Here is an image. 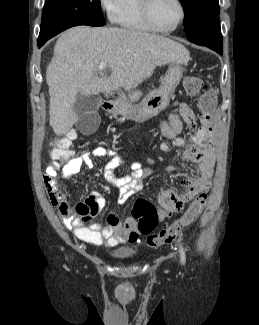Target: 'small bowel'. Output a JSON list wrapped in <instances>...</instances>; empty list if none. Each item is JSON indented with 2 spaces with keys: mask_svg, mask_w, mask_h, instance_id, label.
<instances>
[{
  "mask_svg": "<svg viewBox=\"0 0 259 325\" xmlns=\"http://www.w3.org/2000/svg\"><path fill=\"white\" fill-rule=\"evenodd\" d=\"M183 123L192 132L196 128L194 111L185 103H177L176 109L159 123L161 135L172 140L171 144H166L168 146L166 149L163 147L165 144H163L162 150L167 151L171 147H185L182 158L196 164L194 175L181 180V184L185 188L183 194H178L168 188L162 189L157 194V201L160 206L158 217L161 221L174 212L180 211L187 202L199 194L207 192L211 185L215 158L210 145L209 131L202 126L189 140H186L178 136ZM92 157H110V160L103 166V176L117 187L119 205L125 204L134 194L141 191L143 179L151 173L150 168L135 161L131 163L129 174L116 178L114 172L125 163L124 158L111 149L99 146L79 156H74L69 152L61 159H56L51 153V163L43 176L44 183L47 184L57 175L58 171H61L65 178H72L80 172L83 166H92ZM168 170L176 171L177 168L174 165H169ZM51 203L58 206L59 215L67 228L72 230L78 239L86 243L95 246L114 247L119 243H134L138 239L137 222L133 217L121 220L117 215L110 213L106 224L90 222L107 205L106 198L97 191H91L87 199L84 202H78L75 207L70 206L64 194L57 200L51 199Z\"/></svg>",
  "mask_w": 259,
  "mask_h": 325,
  "instance_id": "1",
  "label": "small bowel"
}]
</instances>
